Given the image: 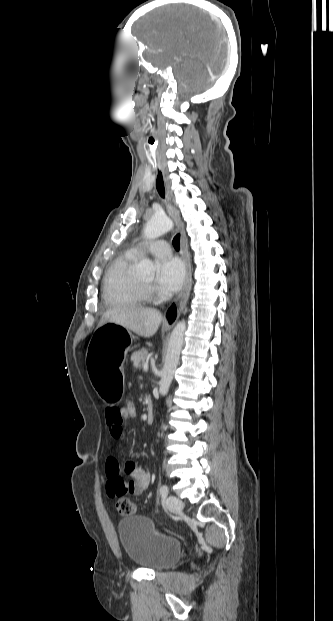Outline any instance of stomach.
Listing matches in <instances>:
<instances>
[{
	"label": "stomach",
	"instance_id": "1",
	"mask_svg": "<svg viewBox=\"0 0 333 621\" xmlns=\"http://www.w3.org/2000/svg\"><path fill=\"white\" fill-rule=\"evenodd\" d=\"M133 340L130 330L106 323L94 332L87 349V366L93 389L111 407L120 401L126 389L122 353Z\"/></svg>",
	"mask_w": 333,
	"mask_h": 621
}]
</instances>
